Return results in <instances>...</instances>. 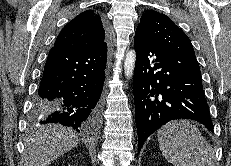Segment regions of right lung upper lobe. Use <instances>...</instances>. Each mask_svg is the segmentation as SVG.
Returning a JSON list of instances; mask_svg holds the SVG:
<instances>
[{
    "instance_id": "1",
    "label": "right lung upper lobe",
    "mask_w": 231,
    "mask_h": 166,
    "mask_svg": "<svg viewBox=\"0 0 231 166\" xmlns=\"http://www.w3.org/2000/svg\"><path fill=\"white\" fill-rule=\"evenodd\" d=\"M105 25L95 10H87L72 19L59 33L54 47L90 50L105 45Z\"/></svg>"
}]
</instances>
